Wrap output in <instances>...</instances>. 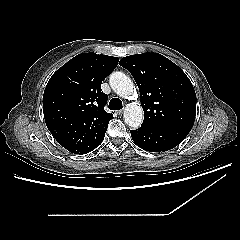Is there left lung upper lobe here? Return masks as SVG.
Instances as JSON below:
<instances>
[{
  "label": "left lung upper lobe",
  "instance_id": "obj_1",
  "mask_svg": "<svg viewBox=\"0 0 240 240\" xmlns=\"http://www.w3.org/2000/svg\"><path fill=\"white\" fill-rule=\"evenodd\" d=\"M119 64L129 70L140 90L144 110L141 127H193L196 94L176 64L158 53L127 56Z\"/></svg>",
  "mask_w": 240,
  "mask_h": 240
}]
</instances>
